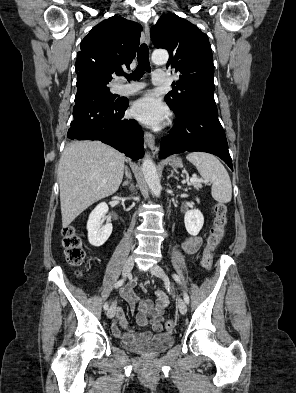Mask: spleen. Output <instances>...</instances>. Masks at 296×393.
<instances>
[{"label": "spleen", "mask_w": 296, "mask_h": 393, "mask_svg": "<svg viewBox=\"0 0 296 393\" xmlns=\"http://www.w3.org/2000/svg\"><path fill=\"white\" fill-rule=\"evenodd\" d=\"M199 174L212 184V197L220 203H228L232 198V185L227 170L213 155L204 152H192L186 156Z\"/></svg>", "instance_id": "spleen-1"}]
</instances>
